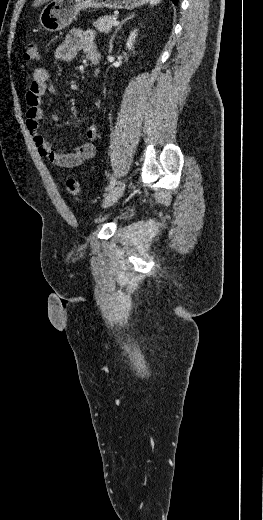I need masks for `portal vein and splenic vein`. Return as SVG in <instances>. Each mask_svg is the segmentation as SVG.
I'll return each instance as SVG.
<instances>
[{"mask_svg": "<svg viewBox=\"0 0 263 520\" xmlns=\"http://www.w3.org/2000/svg\"><path fill=\"white\" fill-rule=\"evenodd\" d=\"M112 24H113L114 26H117V25H119V21L115 20V21L112 22Z\"/></svg>", "mask_w": 263, "mask_h": 520, "instance_id": "portal-vein-and-splenic-vein-1", "label": "portal vein and splenic vein"}]
</instances>
